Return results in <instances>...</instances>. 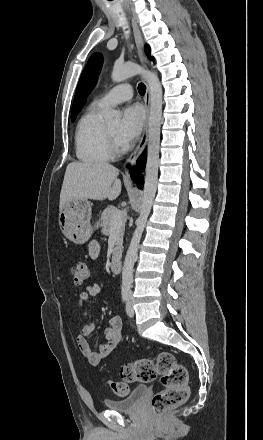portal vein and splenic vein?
I'll return each mask as SVG.
<instances>
[{
    "label": "portal vein and splenic vein",
    "instance_id": "portal-vein-and-splenic-vein-1",
    "mask_svg": "<svg viewBox=\"0 0 263 440\" xmlns=\"http://www.w3.org/2000/svg\"><path fill=\"white\" fill-rule=\"evenodd\" d=\"M124 218V213L122 211H117L114 215L113 222L111 224V229H115L120 226Z\"/></svg>",
    "mask_w": 263,
    "mask_h": 440
}]
</instances>
